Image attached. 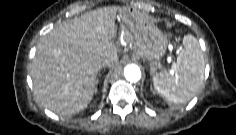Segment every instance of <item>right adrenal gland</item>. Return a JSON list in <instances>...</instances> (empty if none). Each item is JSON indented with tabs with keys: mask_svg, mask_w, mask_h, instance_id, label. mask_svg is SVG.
Here are the masks:
<instances>
[{
	"mask_svg": "<svg viewBox=\"0 0 236 135\" xmlns=\"http://www.w3.org/2000/svg\"><path fill=\"white\" fill-rule=\"evenodd\" d=\"M98 83H99V80L97 79L96 80V87H95V90H94L95 94L97 93V85H98Z\"/></svg>",
	"mask_w": 236,
	"mask_h": 135,
	"instance_id": "2a0ac1e0",
	"label": "right adrenal gland"
}]
</instances>
